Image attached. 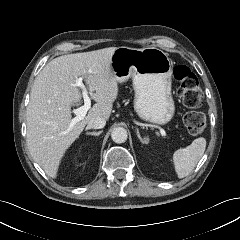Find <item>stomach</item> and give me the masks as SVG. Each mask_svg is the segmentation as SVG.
I'll use <instances>...</instances> for the list:
<instances>
[{"instance_id":"0dacf381","label":"stomach","mask_w":240,"mask_h":240,"mask_svg":"<svg viewBox=\"0 0 240 240\" xmlns=\"http://www.w3.org/2000/svg\"><path fill=\"white\" fill-rule=\"evenodd\" d=\"M111 68L120 83L132 78L134 109L141 119L159 125L172 119V62L167 53L155 47H119L111 57Z\"/></svg>"}]
</instances>
